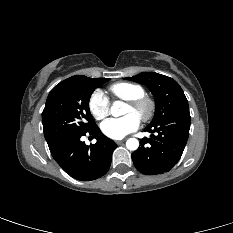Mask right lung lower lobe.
Returning a JSON list of instances; mask_svg holds the SVG:
<instances>
[{
    "instance_id": "98d812e1",
    "label": "right lung lower lobe",
    "mask_w": 233,
    "mask_h": 233,
    "mask_svg": "<svg viewBox=\"0 0 233 233\" xmlns=\"http://www.w3.org/2000/svg\"><path fill=\"white\" fill-rule=\"evenodd\" d=\"M86 134L97 142L87 146L81 141ZM50 152L61 168L70 176L82 180H95L107 173L116 143L103 135L95 125L85 133L71 134L48 143Z\"/></svg>"
}]
</instances>
